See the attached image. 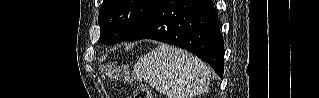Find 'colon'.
Segmentation results:
<instances>
[{"mask_svg":"<svg viewBox=\"0 0 319 98\" xmlns=\"http://www.w3.org/2000/svg\"><path fill=\"white\" fill-rule=\"evenodd\" d=\"M113 66L107 65L106 71L111 74L113 72ZM135 98H151V90L147 85H141L137 88Z\"/></svg>","mask_w":319,"mask_h":98,"instance_id":"5ec220e1","label":"colon"}]
</instances>
